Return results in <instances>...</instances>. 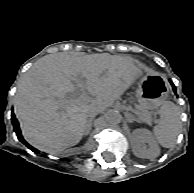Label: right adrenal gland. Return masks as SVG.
Instances as JSON below:
<instances>
[{"mask_svg": "<svg viewBox=\"0 0 194 193\" xmlns=\"http://www.w3.org/2000/svg\"><path fill=\"white\" fill-rule=\"evenodd\" d=\"M92 121H93V118H90V119L88 120V122H87V128H86V132H85L86 135H87V134L90 132V130H91Z\"/></svg>", "mask_w": 194, "mask_h": 193, "instance_id": "2a0ac1e0", "label": "right adrenal gland"}]
</instances>
